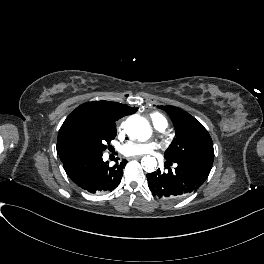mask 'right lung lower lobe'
I'll return each mask as SVG.
<instances>
[{"label": "right lung lower lobe", "instance_id": "98d812e1", "mask_svg": "<svg viewBox=\"0 0 264 264\" xmlns=\"http://www.w3.org/2000/svg\"><path fill=\"white\" fill-rule=\"evenodd\" d=\"M125 164V161L116 163L95 177L77 185L90 193L112 191L120 184Z\"/></svg>", "mask_w": 264, "mask_h": 264}]
</instances>
